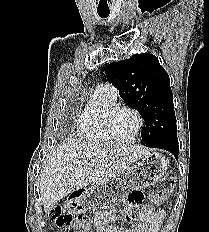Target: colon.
Listing matches in <instances>:
<instances>
[{
    "label": "colon",
    "mask_w": 209,
    "mask_h": 232,
    "mask_svg": "<svg viewBox=\"0 0 209 232\" xmlns=\"http://www.w3.org/2000/svg\"><path fill=\"white\" fill-rule=\"evenodd\" d=\"M164 196V192L155 194L154 200L160 201ZM50 220L59 228H63L65 232H80L79 226L83 221H75L70 214H65L61 207L54 208L49 214Z\"/></svg>",
    "instance_id": "colon-1"
}]
</instances>
